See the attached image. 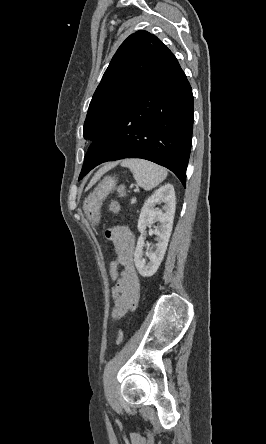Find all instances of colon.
I'll return each mask as SVG.
<instances>
[{
  "instance_id": "obj_1",
  "label": "colon",
  "mask_w": 266,
  "mask_h": 444,
  "mask_svg": "<svg viewBox=\"0 0 266 444\" xmlns=\"http://www.w3.org/2000/svg\"><path fill=\"white\" fill-rule=\"evenodd\" d=\"M116 192L119 197H124L127 194L126 188L122 185L116 188ZM110 211L115 215L119 213L120 204L118 201H113L110 204ZM119 276H120V264L117 259H113L108 268V277L110 282L115 285L119 279ZM124 336H125L124 331L120 329L116 336L117 345L122 343Z\"/></svg>"
}]
</instances>
